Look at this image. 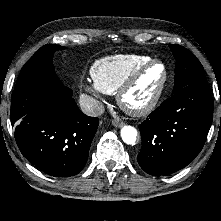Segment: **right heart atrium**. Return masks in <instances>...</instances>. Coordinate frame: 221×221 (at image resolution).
<instances>
[{
  "label": "right heart atrium",
  "instance_id": "right-heart-atrium-1",
  "mask_svg": "<svg viewBox=\"0 0 221 221\" xmlns=\"http://www.w3.org/2000/svg\"><path fill=\"white\" fill-rule=\"evenodd\" d=\"M83 89L94 96L97 100H102L103 93L93 82H87L82 85Z\"/></svg>",
  "mask_w": 221,
  "mask_h": 221
}]
</instances>
